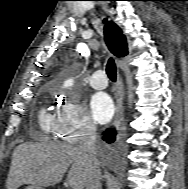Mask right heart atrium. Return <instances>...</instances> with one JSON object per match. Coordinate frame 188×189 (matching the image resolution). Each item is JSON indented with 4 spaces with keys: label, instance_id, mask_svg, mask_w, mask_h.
I'll list each match as a JSON object with an SVG mask.
<instances>
[{
    "label": "right heart atrium",
    "instance_id": "right-heart-atrium-1",
    "mask_svg": "<svg viewBox=\"0 0 188 189\" xmlns=\"http://www.w3.org/2000/svg\"><path fill=\"white\" fill-rule=\"evenodd\" d=\"M55 124L58 134L71 143L93 135L96 128L84 106L63 95L55 114Z\"/></svg>",
    "mask_w": 188,
    "mask_h": 189
}]
</instances>
